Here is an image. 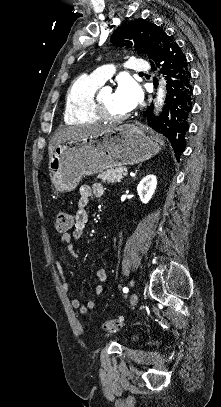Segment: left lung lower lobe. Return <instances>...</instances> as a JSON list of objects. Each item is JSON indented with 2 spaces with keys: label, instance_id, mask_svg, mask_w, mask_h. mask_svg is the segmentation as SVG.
I'll return each instance as SVG.
<instances>
[{
  "label": "left lung lower lobe",
  "instance_id": "left-lung-lower-lobe-1",
  "mask_svg": "<svg viewBox=\"0 0 221 407\" xmlns=\"http://www.w3.org/2000/svg\"><path fill=\"white\" fill-rule=\"evenodd\" d=\"M156 65L166 75L167 96L159 116H154L153 105L143 113L150 126L166 136L174 149L176 157L185 150L184 136L188 131V116L192 110L191 73L181 48L165 36ZM155 68V67H153Z\"/></svg>",
  "mask_w": 221,
  "mask_h": 407
}]
</instances>
